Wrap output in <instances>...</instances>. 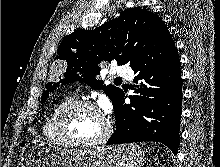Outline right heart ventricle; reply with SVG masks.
<instances>
[{"instance_id": "e07e8e85", "label": "right heart ventricle", "mask_w": 220, "mask_h": 167, "mask_svg": "<svg viewBox=\"0 0 220 167\" xmlns=\"http://www.w3.org/2000/svg\"><path fill=\"white\" fill-rule=\"evenodd\" d=\"M74 100V96L69 95L56 103L50 110L44 124L42 127V133L44 137L52 143L64 144V142L59 138L55 130V121L59 111L70 101Z\"/></svg>"}]
</instances>
